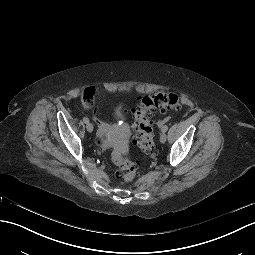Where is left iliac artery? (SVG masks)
<instances>
[{
    "instance_id": "left-iliac-artery-1",
    "label": "left iliac artery",
    "mask_w": 255,
    "mask_h": 255,
    "mask_svg": "<svg viewBox=\"0 0 255 255\" xmlns=\"http://www.w3.org/2000/svg\"><path fill=\"white\" fill-rule=\"evenodd\" d=\"M161 130H162V132H166L168 130V126L164 125Z\"/></svg>"
}]
</instances>
